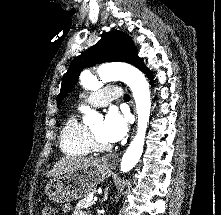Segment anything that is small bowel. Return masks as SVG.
Returning <instances> with one entry per match:
<instances>
[{
	"mask_svg": "<svg viewBox=\"0 0 221 215\" xmlns=\"http://www.w3.org/2000/svg\"><path fill=\"white\" fill-rule=\"evenodd\" d=\"M62 210L65 212V213H70V212H72V207H71V205L70 204H64L63 206H62ZM72 215H87V213L86 212H84V211H81V210H76V211H73L72 212Z\"/></svg>",
	"mask_w": 221,
	"mask_h": 215,
	"instance_id": "obj_1",
	"label": "small bowel"
}]
</instances>
